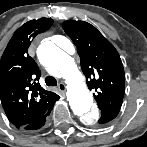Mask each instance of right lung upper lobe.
Here are the masks:
<instances>
[{
  "label": "right lung upper lobe",
  "instance_id": "1",
  "mask_svg": "<svg viewBox=\"0 0 147 147\" xmlns=\"http://www.w3.org/2000/svg\"><path fill=\"white\" fill-rule=\"evenodd\" d=\"M53 20L40 18L23 24L12 36L0 62V98L9 121L17 128L33 122L53 108L59 96L39 84L41 71L27 50Z\"/></svg>",
  "mask_w": 147,
  "mask_h": 147
}]
</instances>
